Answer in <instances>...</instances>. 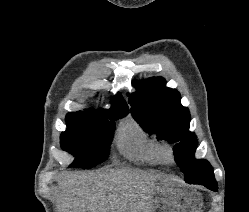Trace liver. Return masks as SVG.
Returning a JSON list of instances; mask_svg holds the SVG:
<instances>
[{
    "label": "liver",
    "instance_id": "6515ba94",
    "mask_svg": "<svg viewBox=\"0 0 249 212\" xmlns=\"http://www.w3.org/2000/svg\"><path fill=\"white\" fill-rule=\"evenodd\" d=\"M142 170L74 172L58 180L60 212H151L157 180Z\"/></svg>",
    "mask_w": 249,
    "mask_h": 212
}]
</instances>
